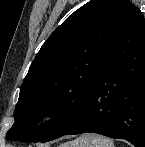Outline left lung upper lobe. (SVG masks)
Segmentation results:
<instances>
[{"instance_id": "left-lung-upper-lobe-1", "label": "left lung upper lobe", "mask_w": 145, "mask_h": 147, "mask_svg": "<svg viewBox=\"0 0 145 147\" xmlns=\"http://www.w3.org/2000/svg\"><path fill=\"white\" fill-rule=\"evenodd\" d=\"M130 5L128 0H90L50 35L20 88L8 140L46 142L76 124ZM45 115L54 118L34 129Z\"/></svg>"}]
</instances>
